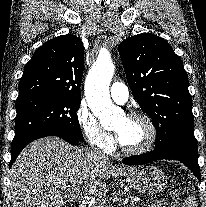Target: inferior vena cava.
I'll list each match as a JSON object with an SVG mask.
<instances>
[{
  "label": "inferior vena cava",
  "instance_id": "602c4592",
  "mask_svg": "<svg viewBox=\"0 0 206 207\" xmlns=\"http://www.w3.org/2000/svg\"><path fill=\"white\" fill-rule=\"evenodd\" d=\"M93 152H94L98 157H100V158H102V159H107L105 153L99 151L97 148H94V149H93Z\"/></svg>",
  "mask_w": 206,
  "mask_h": 207
}]
</instances>
